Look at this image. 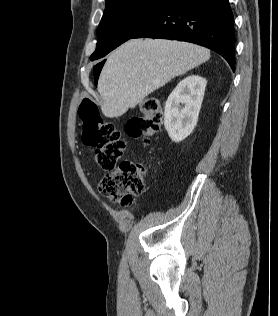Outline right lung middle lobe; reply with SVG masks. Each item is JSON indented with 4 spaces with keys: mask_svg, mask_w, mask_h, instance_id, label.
<instances>
[{
    "mask_svg": "<svg viewBox=\"0 0 278 316\" xmlns=\"http://www.w3.org/2000/svg\"><path fill=\"white\" fill-rule=\"evenodd\" d=\"M167 0H108L90 60L99 59L131 39L161 10ZM99 73V72H98ZM95 74L97 72L95 71Z\"/></svg>",
    "mask_w": 278,
    "mask_h": 316,
    "instance_id": "1",
    "label": "right lung middle lobe"
}]
</instances>
